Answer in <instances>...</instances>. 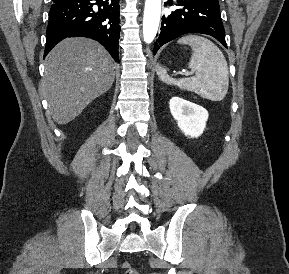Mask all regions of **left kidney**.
Instances as JSON below:
<instances>
[{
    "label": "left kidney",
    "mask_w": 289,
    "mask_h": 274,
    "mask_svg": "<svg viewBox=\"0 0 289 274\" xmlns=\"http://www.w3.org/2000/svg\"><path fill=\"white\" fill-rule=\"evenodd\" d=\"M169 107L178 127L186 136L197 138L203 133L208 120L205 108L180 97H173Z\"/></svg>",
    "instance_id": "5707ae66"
}]
</instances>
